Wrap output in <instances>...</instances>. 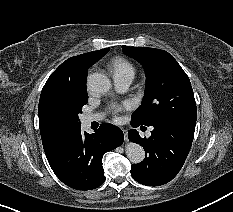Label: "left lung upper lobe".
<instances>
[{
  "label": "left lung upper lobe",
  "mask_w": 233,
  "mask_h": 212,
  "mask_svg": "<svg viewBox=\"0 0 233 212\" xmlns=\"http://www.w3.org/2000/svg\"><path fill=\"white\" fill-rule=\"evenodd\" d=\"M125 54L145 68V97L133 113L132 122L152 126L160 121L196 124L197 109L188 76L174 57L164 50L122 46Z\"/></svg>",
  "instance_id": "obj_1"
}]
</instances>
